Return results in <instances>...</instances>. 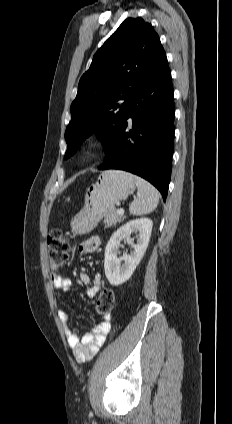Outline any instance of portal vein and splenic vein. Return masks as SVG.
<instances>
[{"label":"portal vein and splenic vein","instance_id":"18ae733b","mask_svg":"<svg viewBox=\"0 0 232 424\" xmlns=\"http://www.w3.org/2000/svg\"><path fill=\"white\" fill-rule=\"evenodd\" d=\"M117 213H118V214H124V209H123V208L118 209V210H117Z\"/></svg>","mask_w":232,"mask_h":424}]
</instances>
